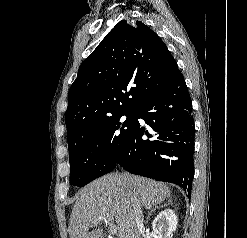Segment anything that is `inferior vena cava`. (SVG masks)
I'll use <instances>...</instances> for the list:
<instances>
[{"instance_id": "1", "label": "inferior vena cava", "mask_w": 247, "mask_h": 238, "mask_svg": "<svg viewBox=\"0 0 247 238\" xmlns=\"http://www.w3.org/2000/svg\"><path fill=\"white\" fill-rule=\"evenodd\" d=\"M133 208H134V225L136 229V234H138L144 228L143 212L138 203H135Z\"/></svg>"}]
</instances>
